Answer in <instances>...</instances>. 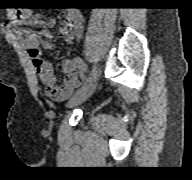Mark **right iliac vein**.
Returning <instances> with one entry per match:
<instances>
[{"mask_svg": "<svg viewBox=\"0 0 192 180\" xmlns=\"http://www.w3.org/2000/svg\"><path fill=\"white\" fill-rule=\"evenodd\" d=\"M95 88L96 77L73 95V97L67 102V107L72 108L83 103L93 94Z\"/></svg>", "mask_w": 192, "mask_h": 180, "instance_id": "obj_1", "label": "right iliac vein"}]
</instances>
